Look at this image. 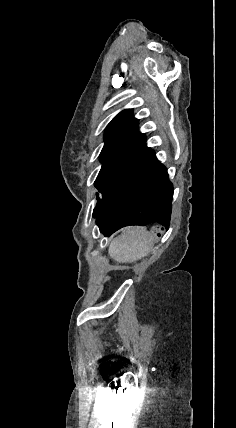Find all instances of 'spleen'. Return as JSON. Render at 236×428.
Segmentation results:
<instances>
[{
	"mask_svg": "<svg viewBox=\"0 0 236 428\" xmlns=\"http://www.w3.org/2000/svg\"><path fill=\"white\" fill-rule=\"evenodd\" d=\"M153 242L154 238L146 228L131 226L125 228L121 236L112 240L109 254L116 262H136L149 254Z\"/></svg>",
	"mask_w": 236,
	"mask_h": 428,
	"instance_id": "3e777b00",
	"label": "spleen"
}]
</instances>
